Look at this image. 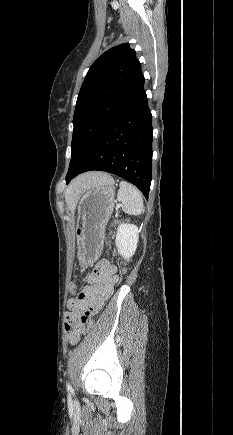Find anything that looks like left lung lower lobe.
Masks as SVG:
<instances>
[{
  "instance_id": "0a47b994",
  "label": "left lung lower lobe",
  "mask_w": 233,
  "mask_h": 435,
  "mask_svg": "<svg viewBox=\"0 0 233 435\" xmlns=\"http://www.w3.org/2000/svg\"><path fill=\"white\" fill-rule=\"evenodd\" d=\"M152 115L144 92L113 121L86 154L71 166L66 181L101 170L124 178L148 198L152 179Z\"/></svg>"
}]
</instances>
